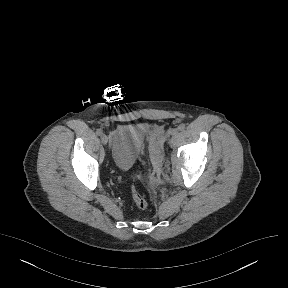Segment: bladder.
I'll return each mask as SVG.
<instances>
[{
	"mask_svg": "<svg viewBox=\"0 0 288 288\" xmlns=\"http://www.w3.org/2000/svg\"><path fill=\"white\" fill-rule=\"evenodd\" d=\"M146 137L144 128L124 125L110 134V152L114 166L122 171L129 170L140 155Z\"/></svg>",
	"mask_w": 288,
	"mask_h": 288,
	"instance_id": "obj_1",
	"label": "bladder"
}]
</instances>
